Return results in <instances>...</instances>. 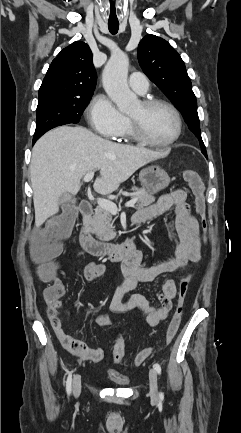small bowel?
Returning a JSON list of instances; mask_svg holds the SVG:
<instances>
[{"label":"small bowel","mask_w":241,"mask_h":433,"mask_svg":"<svg viewBox=\"0 0 241 433\" xmlns=\"http://www.w3.org/2000/svg\"><path fill=\"white\" fill-rule=\"evenodd\" d=\"M171 210L174 212L175 228L179 237V244L174 255L151 266L144 265L140 252L130 257L123 266L125 280L118 286L109 304L110 310L114 313H127L134 309H140L146 314L150 327L157 326L168 317L172 309L173 299L176 296L175 282L172 279H167L162 284L160 292L156 295L157 303L155 305L151 304L142 294H134L127 301L123 300L124 295L141 284L154 281L162 274L174 272L184 268L188 263L199 262L202 258L200 223L191 214L187 194L184 190L177 189L161 196L154 204L139 210L134 217L140 216L144 222ZM81 253L84 254L85 252L82 251ZM105 272L106 266L96 261L88 263L83 270L87 281H94ZM52 287L61 290L55 298L47 299V316L58 340L75 358L83 361L100 362L104 356L102 348L89 346L64 331L58 310L63 305L61 298L65 295L66 289L60 280H56ZM94 323L99 327H104L109 326L111 320L107 314H100L95 317Z\"/></svg>","instance_id":"small-bowel-1"}]
</instances>
